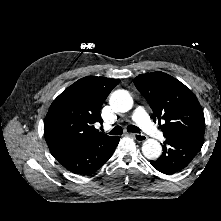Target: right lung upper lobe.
<instances>
[{"mask_svg": "<svg viewBox=\"0 0 221 221\" xmlns=\"http://www.w3.org/2000/svg\"><path fill=\"white\" fill-rule=\"evenodd\" d=\"M119 79L87 76L65 89L51 104L44 136L53 155L111 138L95 129L102 122L100 109Z\"/></svg>", "mask_w": 221, "mask_h": 221, "instance_id": "cb5924a9", "label": "right lung upper lobe"}]
</instances>
